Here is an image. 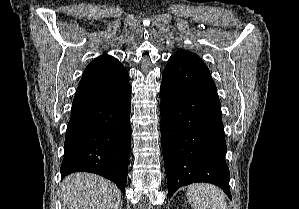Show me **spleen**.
Listing matches in <instances>:
<instances>
[{
    "label": "spleen",
    "instance_id": "3e777b00",
    "mask_svg": "<svg viewBox=\"0 0 299 209\" xmlns=\"http://www.w3.org/2000/svg\"><path fill=\"white\" fill-rule=\"evenodd\" d=\"M186 196L193 209H227L224 192L212 184H193Z\"/></svg>",
    "mask_w": 299,
    "mask_h": 209
}]
</instances>
